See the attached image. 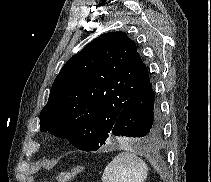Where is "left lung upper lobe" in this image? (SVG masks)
<instances>
[{"mask_svg": "<svg viewBox=\"0 0 211 182\" xmlns=\"http://www.w3.org/2000/svg\"><path fill=\"white\" fill-rule=\"evenodd\" d=\"M148 78L134 41L123 32L102 34L62 67L40 113V130L96 151Z\"/></svg>", "mask_w": 211, "mask_h": 182, "instance_id": "left-lung-upper-lobe-1", "label": "left lung upper lobe"}]
</instances>
